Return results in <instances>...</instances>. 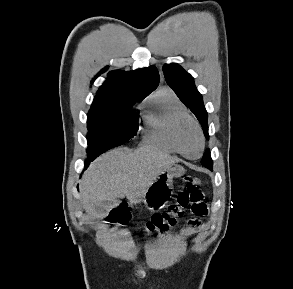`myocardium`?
I'll list each match as a JSON object with an SVG mask.
<instances>
[{
    "label": "myocardium",
    "instance_id": "1",
    "mask_svg": "<svg viewBox=\"0 0 293 289\" xmlns=\"http://www.w3.org/2000/svg\"><path fill=\"white\" fill-rule=\"evenodd\" d=\"M189 124H192L195 127V129L197 130L198 135H199V139H200V143H201L199 154L196 156L188 155L183 150L182 143H181L182 131ZM172 140H173V143L176 147L177 152L187 159H198L199 157H201V155L203 154V151L205 149V138H204L202 128H201L200 124L197 122V120H195L193 117H191L189 115L177 119V121L174 124L173 132H172Z\"/></svg>",
    "mask_w": 293,
    "mask_h": 289
}]
</instances>
